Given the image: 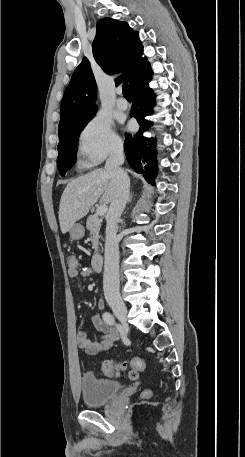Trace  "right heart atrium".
<instances>
[{"label":"right heart atrium","instance_id":"d8ad5b80","mask_svg":"<svg viewBox=\"0 0 245 457\" xmlns=\"http://www.w3.org/2000/svg\"><path fill=\"white\" fill-rule=\"evenodd\" d=\"M78 144L90 160L101 162L121 147V139L108 118L94 116L82 128Z\"/></svg>","mask_w":245,"mask_h":457}]
</instances>
